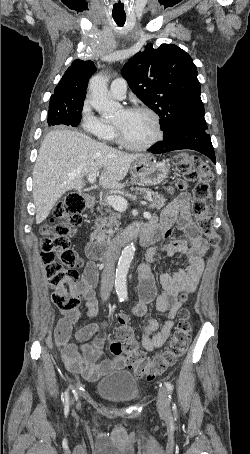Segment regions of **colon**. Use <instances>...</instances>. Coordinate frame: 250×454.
<instances>
[{
    "mask_svg": "<svg viewBox=\"0 0 250 454\" xmlns=\"http://www.w3.org/2000/svg\"><path fill=\"white\" fill-rule=\"evenodd\" d=\"M174 163L181 177L171 190H184L189 183L196 182L193 188V215L197 226L208 237L210 244L217 245L220 242V235L213 228L210 210L206 204L210 194V182L213 179L209 165L190 153L176 155ZM85 207L86 200L83 195L70 193L57 204L53 217L41 228L45 237L40 254L52 290V300L56 307L64 312L76 310L80 303L75 284L82 262L71 248V239L75 235V227L82 221L81 214ZM186 298V294L181 295L182 301ZM189 317V312L183 310L165 351L154 358H147L138 348L126 317L122 316L116 333L117 338L110 341L109 349L113 355H125L130 368L137 375L153 380L174 365L185 353L192 329Z\"/></svg>",
    "mask_w": 250,
    "mask_h": 454,
    "instance_id": "1",
    "label": "colon"
}]
</instances>
